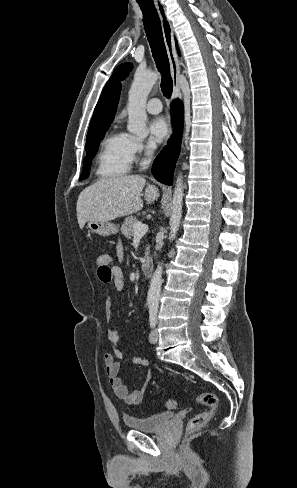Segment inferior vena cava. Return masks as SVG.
I'll use <instances>...</instances> for the list:
<instances>
[{
	"label": "inferior vena cava",
	"instance_id": "1",
	"mask_svg": "<svg viewBox=\"0 0 297 488\" xmlns=\"http://www.w3.org/2000/svg\"><path fill=\"white\" fill-rule=\"evenodd\" d=\"M146 155H147L148 157H150V155H152V149L148 148V149L146 150ZM150 161H151V160H150V158H149V159H147V160H145V161H143V162L141 163V166L143 167V169H146V168L148 167V165H149Z\"/></svg>",
	"mask_w": 297,
	"mask_h": 488
}]
</instances>
